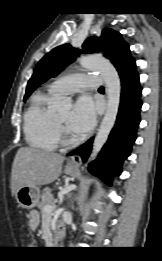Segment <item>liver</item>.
<instances>
[{
  "instance_id": "1",
  "label": "liver",
  "mask_w": 162,
  "mask_h": 261,
  "mask_svg": "<svg viewBox=\"0 0 162 261\" xmlns=\"http://www.w3.org/2000/svg\"><path fill=\"white\" fill-rule=\"evenodd\" d=\"M65 157L30 147L18 149L11 171V192L25 185L41 186L55 181L61 174Z\"/></svg>"
}]
</instances>
